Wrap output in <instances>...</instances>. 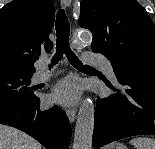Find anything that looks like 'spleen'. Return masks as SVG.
<instances>
[{
	"label": "spleen",
	"instance_id": "spleen-1",
	"mask_svg": "<svg viewBox=\"0 0 155 149\" xmlns=\"http://www.w3.org/2000/svg\"><path fill=\"white\" fill-rule=\"evenodd\" d=\"M135 149H155V139L149 137H136L130 141Z\"/></svg>",
	"mask_w": 155,
	"mask_h": 149
}]
</instances>
